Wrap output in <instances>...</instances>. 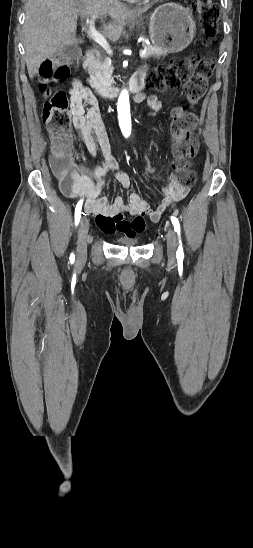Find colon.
<instances>
[{"instance_id":"colon-1","label":"colon","mask_w":253,"mask_h":548,"mask_svg":"<svg viewBox=\"0 0 253 548\" xmlns=\"http://www.w3.org/2000/svg\"><path fill=\"white\" fill-rule=\"evenodd\" d=\"M186 1L198 11L206 43L212 45L219 23L218 9L212 0ZM75 54V50L71 49L66 54L45 60L39 69L38 83L44 95L43 121L52 138L51 167L62 183H67L74 174L75 164L71 157L69 101L59 86L69 76L68 64ZM212 70L213 62L210 59H172L159 65L147 78L149 87L158 91L176 88L183 83L187 104L175 115L171 124L176 156L172 175L188 187L196 181V175L188 162L198 149L197 140L193 135L197 124L195 106L206 94ZM142 165L147 175L157 174V168L151 162L145 161Z\"/></svg>"}]
</instances>
